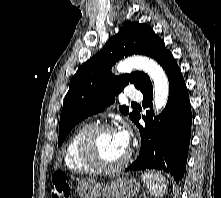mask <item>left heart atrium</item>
<instances>
[{
  "label": "left heart atrium",
  "instance_id": "39dd6f15",
  "mask_svg": "<svg viewBox=\"0 0 221 198\" xmlns=\"http://www.w3.org/2000/svg\"><path fill=\"white\" fill-rule=\"evenodd\" d=\"M116 136L121 143V145L125 148H128L129 143H130V132L128 128L123 127L120 130L116 132Z\"/></svg>",
  "mask_w": 221,
  "mask_h": 198
}]
</instances>
